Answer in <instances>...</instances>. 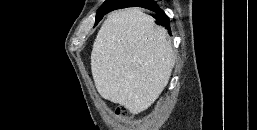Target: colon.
<instances>
[{"label":"colon","instance_id":"colon-1","mask_svg":"<svg viewBox=\"0 0 257 130\" xmlns=\"http://www.w3.org/2000/svg\"><path fill=\"white\" fill-rule=\"evenodd\" d=\"M117 114H118V116H120L124 120H127V119L131 118V113L126 108H119L117 110Z\"/></svg>","mask_w":257,"mask_h":130}]
</instances>
